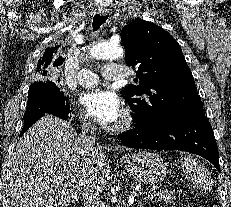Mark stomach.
Masks as SVG:
<instances>
[{"mask_svg":"<svg viewBox=\"0 0 231 207\" xmlns=\"http://www.w3.org/2000/svg\"><path fill=\"white\" fill-rule=\"evenodd\" d=\"M122 161L130 175L140 183L156 184L168 173L167 163L158 154L147 150L125 154Z\"/></svg>","mask_w":231,"mask_h":207,"instance_id":"obj_1","label":"stomach"}]
</instances>
